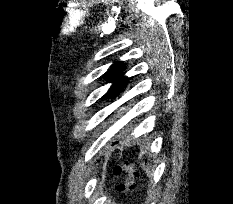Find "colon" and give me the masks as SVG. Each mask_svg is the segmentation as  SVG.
Here are the masks:
<instances>
[{
  "label": "colon",
  "mask_w": 233,
  "mask_h": 204,
  "mask_svg": "<svg viewBox=\"0 0 233 204\" xmlns=\"http://www.w3.org/2000/svg\"><path fill=\"white\" fill-rule=\"evenodd\" d=\"M113 172L116 175L120 173L126 174L124 182L116 187V195L120 197L130 192L133 189L137 178V172L133 165L129 162H122L114 167Z\"/></svg>",
  "instance_id": "5ec220e1"
}]
</instances>
